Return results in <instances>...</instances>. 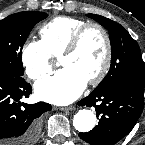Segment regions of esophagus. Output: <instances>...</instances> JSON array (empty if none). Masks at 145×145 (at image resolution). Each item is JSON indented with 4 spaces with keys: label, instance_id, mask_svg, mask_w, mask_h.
I'll return each mask as SVG.
<instances>
[{
    "label": "esophagus",
    "instance_id": "1",
    "mask_svg": "<svg viewBox=\"0 0 145 145\" xmlns=\"http://www.w3.org/2000/svg\"><path fill=\"white\" fill-rule=\"evenodd\" d=\"M74 106H68V107H60L59 110H62V111H71V110H74Z\"/></svg>",
    "mask_w": 145,
    "mask_h": 145
}]
</instances>
